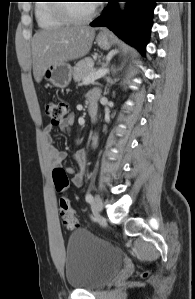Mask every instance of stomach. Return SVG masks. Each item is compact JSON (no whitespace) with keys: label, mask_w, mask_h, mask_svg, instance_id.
<instances>
[{"label":"stomach","mask_w":195,"mask_h":299,"mask_svg":"<svg viewBox=\"0 0 195 299\" xmlns=\"http://www.w3.org/2000/svg\"><path fill=\"white\" fill-rule=\"evenodd\" d=\"M96 43L101 49L108 50L112 45V40L107 34L101 33L97 36ZM42 76L55 87L65 88L71 81L72 67L67 63L50 65L45 69Z\"/></svg>","instance_id":"1"}]
</instances>
